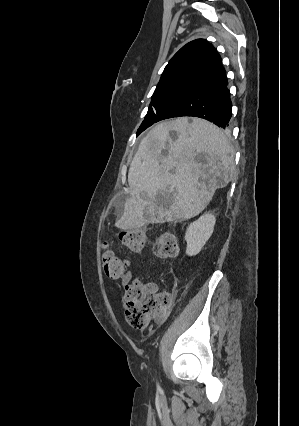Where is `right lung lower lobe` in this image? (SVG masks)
<instances>
[{"mask_svg":"<svg viewBox=\"0 0 299 426\" xmlns=\"http://www.w3.org/2000/svg\"><path fill=\"white\" fill-rule=\"evenodd\" d=\"M231 109L230 92L224 75L197 86L181 97L162 113L159 121L172 117L195 116L219 127H226L231 118Z\"/></svg>","mask_w":299,"mask_h":426,"instance_id":"1","label":"right lung lower lobe"}]
</instances>
